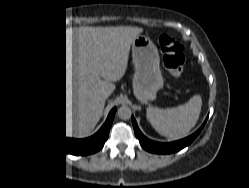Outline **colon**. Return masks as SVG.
<instances>
[{
	"mask_svg": "<svg viewBox=\"0 0 249 188\" xmlns=\"http://www.w3.org/2000/svg\"><path fill=\"white\" fill-rule=\"evenodd\" d=\"M157 42L162 52V62L170 74L180 78L184 63V48L174 38L160 34L157 36Z\"/></svg>",
	"mask_w": 249,
	"mask_h": 188,
	"instance_id": "1",
	"label": "colon"
}]
</instances>
